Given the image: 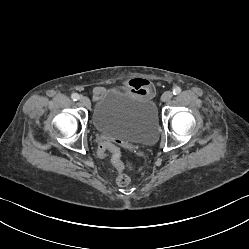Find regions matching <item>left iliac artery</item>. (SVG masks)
<instances>
[{"mask_svg": "<svg viewBox=\"0 0 249 249\" xmlns=\"http://www.w3.org/2000/svg\"><path fill=\"white\" fill-rule=\"evenodd\" d=\"M180 92H181V88H180V87H175V88L173 89V94H174V95H178Z\"/></svg>", "mask_w": 249, "mask_h": 249, "instance_id": "44dca946", "label": "left iliac artery"}]
</instances>
